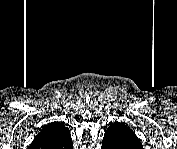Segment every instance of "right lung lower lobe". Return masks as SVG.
<instances>
[{
    "label": "right lung lower lobe",
    "mask_w": 177,
    "mask_h": 149,
    "mask_svg": "<svg viewBox=\"0 0 177 149\" xmlns=\"http://www.w3.org/2000/svg\"><path fill=\"white\" fill-rule=\"evenodd\" d=\"M69 147H70V148H72V147H73V145H70Z\"/></svg>",
    "instance_id": "1"
}]
</instances>
